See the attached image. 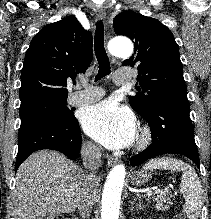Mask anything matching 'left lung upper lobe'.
Segmentation results:
<instances>
[{
    "instance_id": "5c2ea615",
    "label": "left lung upper lobe",
    "mask_w": 211,
    "mask_h": 219,
    "mask_svg": "<svg viewBox=\"0 0 211 219\" xmlns=\"http://www.w3.org/2000/svg\"><path fill=\"white\" fill-rule=\"evenodd\" d=\"M114 30L135 43L134 55L123 62V66L136 65L138 69V93L129 96L134 110L143 117L159 100L187 99L178 45L166 26L157 19L125 11L114 18Z\"/></svg>"
}]
</instances>
